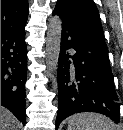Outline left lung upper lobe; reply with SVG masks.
Listing matches in <instances>:
<instances>
[{
	"label": "left lung upper lobe",
	"mask_w": 123,
	"mask_h": 130,
	"mask_svg": "<svg viewBox=\"0 0 123 130\" xmlns=\"http://www.w3.org/2000/svg\"><path fill=\"white\" fill-rule=\"evenodd\" d=\"M54 11L78 34L106 44L99 12L93 0H58Z\"/></svg>",
	"instance_id": "obj_1"
}]
</instances>
